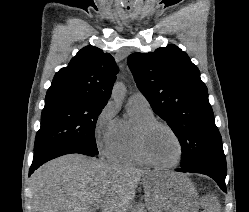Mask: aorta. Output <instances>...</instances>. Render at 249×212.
<instances>
[{"label":"aorta","mask_w":249,"mask_h":212,"mask_svg":"<svg viewBox=\"0 0 249 212\" xmlns=\"http://www.w3.org/2000/svg\"><path fill=\"white\" fill-rule=\"evenodd\" d=\"M126 92L125 85L118 81L114 84L113 90H112V98L115 102H121L124 99Z\"/></svg>","instance_id":"aorta-1"}]
</instances>
